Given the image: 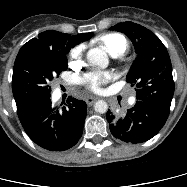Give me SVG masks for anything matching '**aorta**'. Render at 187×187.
Instances as JSON below:
<instances>
[{
    "mask_svg": "<svg viewBox=\"0 0 187 187\" xmlns=\"http://www.w3.org/2000/svg\"><path fill=\"white\" fill-rule=\"evenodd\" d=\"M87 59L90 64L101 68H106L109 64V60L106 52L100 48L90 49L87 53ZM94 110L97 113L103 114L107 112L108 105L105 101L98 100L94 105Z\"/></svg>",
    "mask_w": 187,
    "mask_h": 187,
    "instance_id": "1",
    "label": "aorta"
}]
</instances>
